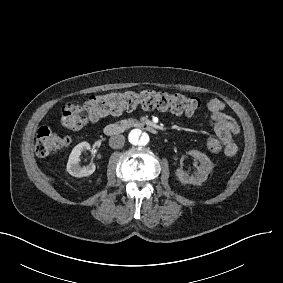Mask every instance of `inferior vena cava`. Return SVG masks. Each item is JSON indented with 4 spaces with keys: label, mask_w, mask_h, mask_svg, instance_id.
I'll return each instance as SVG.
<instances>
[{
    "label": "inferior vena cava",
    "mask_w": 283,
    "mask_h": 283,
    "mask_svg": "<svg viewBox=\"0 0 283 283\" xmlns=\"http://www.w3.org/2000/svg\"><path fill=\"white\" fill-rule=\"evenodd\" d=\"M125 143V137L121 134H116L110 137L109 146L113 149H120Z\"/></svg>",
    "instance_id": "602c4592"
}]
</instances>
